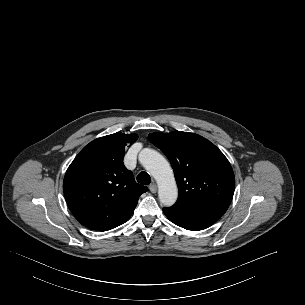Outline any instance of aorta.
Segmentation results:
<instances>
[{
	"label": "aorta",
	"mask_w": 305,
	"mask_h": 305,
	"mask_svg": "<svg viewBox=\"0 0 305 305\" xmlns=\"http://www.w3.org/2000/svg\"><path fill=\"white\" fill-rule=\"evenodd\" d=\"M139 161L158 183V197L164 206H172L178 198V189L173 171L167 160L157 151L145 148Z\"/></svg>",
	"instance_id": "aorta-1"
}]
</instances>
